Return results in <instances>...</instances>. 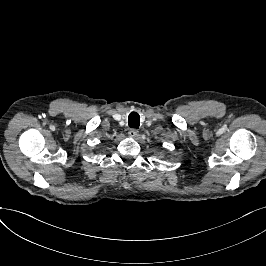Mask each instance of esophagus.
I'll list each match as a JSON object with an SVG mask.
<instances>
[{"label":"esophagus","instance_id":"1","mask_svg":"<svg viewBox=\"0 0 266 266\" xmlns=\"http://www.w3.org/2000/svg\"><path fill=\"white\" fill-rule=\"evenodd\" d=\"M138 135V131L136 129H130L129 132H128V136L130 138H134Z\"/></svg>","mask_w":266,"mask_h":266}]
</instances>
